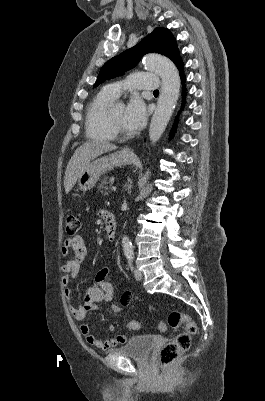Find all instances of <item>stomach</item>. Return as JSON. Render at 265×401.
<instances>
[{
	"label": "stomach",
	"instance_id": "stomach-1",
	"mask_svg": "<svg viewBox=\"0 0 265 401\" xmlns=\"http://www.w3.org/2000/svg\"><path fill=\"white\" fill-rule=\"evenodd\" d=\"M137 160V156L128 154L125 148L124 150H116L101 158H96L87 164L85 170L81 172L78 178V184L81 190H89L92 186H95L97 180H99L102 174H105L106 170H112L114 166H122V164H132Z\"/></svg>",
	"mask_w": 265,
	"mask_h": 401
}]
</instances>
